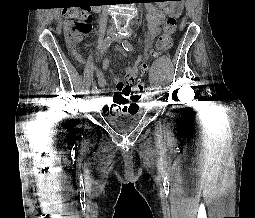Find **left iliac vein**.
Masks as SVG:
<instances>
[{"label": "left iliac vein", "mask_w": 255, "mask_h": 218, "mask_svg": "<svg viewBox=\"0 0 255 218\" xmlns=\"http://www.w3.org/2000/svg\"><path fill=\"white\" fill-rule=\"evenodd\" d=\"M114 40L116 41V42H118V43H121V41H122V39H121V37L120 36H116V37H114ZM150 94L149 93H145V96L146 97H148Z\"/></svg>", "instance_id": "4c4485c4"}]
</instances>
